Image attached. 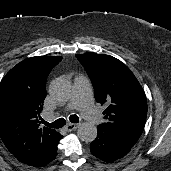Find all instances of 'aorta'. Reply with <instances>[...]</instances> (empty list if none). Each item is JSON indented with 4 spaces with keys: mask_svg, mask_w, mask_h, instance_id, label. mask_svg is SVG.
Instances as JSON below:
<instances>
[{
    "mask_svg": "<svg viewBox=\"0 0 171 171\" xmlns=\"http://www.w3.org/2000/svg\"><path fill=\"white\" fill-rule=\"evenodd\" d=\"M49 93L57 101H66L71 96V85L64 79H56L51 82ZM77 135L84 142H92L97 137V128L92 123L83 122L77 130Z\"/></svg>",
    "mask_w": 171,
    "mask_h": 171,
    "instance_id": "obj_1",
    "label": "aorta"
}]
</instances>
